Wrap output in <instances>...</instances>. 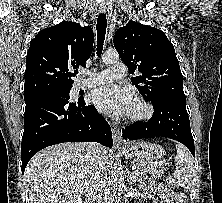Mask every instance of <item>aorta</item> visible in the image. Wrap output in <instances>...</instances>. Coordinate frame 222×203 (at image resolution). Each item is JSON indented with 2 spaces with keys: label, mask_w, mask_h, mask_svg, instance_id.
Instances as JSON below:
<instances>
[{
  "label": "aorta",
  "mask_w": 222,
  "mask_h": 203,
  "mask_svg": "<svg viewBox=\"0 0 222 203\" xmlns=\"http://www.w3.org/2000/svg\"><path fill=\"white\" fill-rule=\"evenodd\" d=\"M119 60V55L116 51H107L102 55V61L105 64H113ZM125 187L124 178L122 174L115 170L112 175V188L116 197L121 196L123 188Z\"/></svg>",
  "instance_id": "aorta-1"
}]
</instances>
